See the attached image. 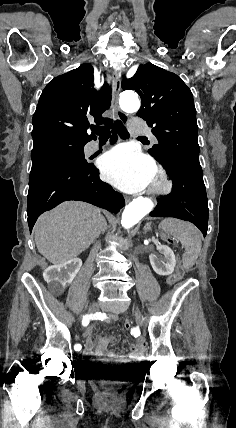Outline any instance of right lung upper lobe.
Segmentation results:
<instances>
[{
  "label": "right lung upper lobe",
  "instance_id": "cb5924a9",
  "mask_svg": "<svg viewBox=\"0 0 236 428\" xmlns=\"http://www.w3.org/2000/svg\"><path fill=\"white\" fill-rule=\"evenodd\" d=\"M93 86V67L87 63L55 77L43 90L32 119L34 145L96 138L87 134V117L93 116L98 125L110 122L101 114L110 107L111 91L107 83L98 93Z\"/></svg>",
  "mask_w": 236,
  "mask_h": 428
}]
</instances>
